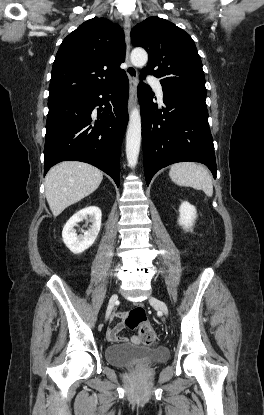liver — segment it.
Listing matches in <instances>:
<instances>
[{"instance_id": "liver-1", "label": "liver", "mask_w": 264, "mask_h": 415, "mask_svg": "<svg viewBox=\"0 0 264 415\" xmlns=\"http://www.w3.org/2000/svg\"><path fill=\"white\" fill-rule=\"evenodd\" d=\"M102 179L103 173L87 163L64 161L53 166L45 177L46 199L53 215L93 193Z\"/></svg>"}]
</instances>
